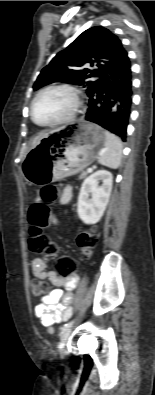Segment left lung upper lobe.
<instances>
[{
  "instance_id": "5c2ea615",
  "label": "left lung upper lobe",
  "mask_w": 155,
  "mask_h": 395,
  "mask_svg": "<svg viewBox=\"0 0 155 395\" xmlns=\"http://www.w3.org/2000/svg\"><path fill=\"white\" fill-rule=\"evenodd\" d=\"M126 56L127 51L114 33L102 26L91 27L42 69L33 88L59 81L82 85L89 96L101 82L91 78L104 75ZM88 63L96 69H90Z\"/></svg>"
}]
</instances>
